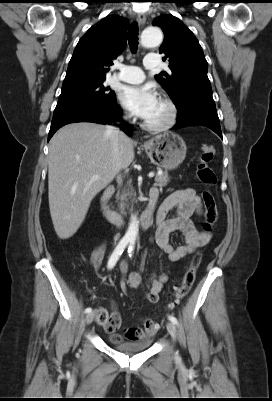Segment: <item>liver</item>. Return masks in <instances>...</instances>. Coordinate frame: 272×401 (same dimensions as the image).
<instances>
[{"instance_id":"1","label":"liver","mask_w":272,"mask_h":401,"mask_svg":"<svg viewBox=\"0 0 272 401\" xmlns=\"http://www.w3.org/2000/svg\"><path fill=\"white\" fill-rule=\"evenodd\" d=\"M133 160V141L120 139L116 167L105 125L71 123L57 131L49 144L48 198L59 238L68 239L77 232L92 199Z\"/></svg>"}]
</instances>
